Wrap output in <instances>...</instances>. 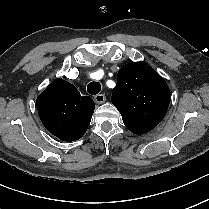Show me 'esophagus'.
<instances>
[{
	"mask_svg": "<svg viewBox=\"0 0 209 209\" xmlns=\"http://www.w3.org/2000/svg\"><path fill=\"white\" fill-rule=\"evenodd\" d=\"M94 100L96 103L102 104L105 102L106 96L105 94H97L96 96H94Z\"/></svg>",
	"mask_w": 209,
	"mask_h": 209,
	"instance_id": "34e87169",
	"label": "esophagus"
}]
</instances>
